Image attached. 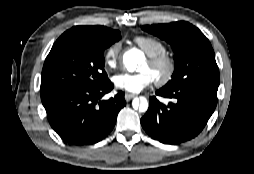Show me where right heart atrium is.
Instances as JSON below:
<instances>
[{"label": "right heart atrium", "mask_w": 254, "mask_h": 174, "mask_svg": "<svg viewBox=\"0 0 254 174\" xmlns=\"http://www.w3.org/2000/svg\"><path fill=\"white\" fill-rule=\"evenodd\" d=\"M121 45L119 42L111 44L104 52V63L109 68H115L120 54Z\"/></svg>", "instance_id": "obj_1"}]
</instances>
